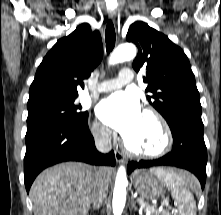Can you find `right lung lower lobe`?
I'll list each match as a JSON object with an SVG mask.
<instances>
[{"mask_svg": "<svg viewBox=\"0 0 221 215\" xmlns=\"http://www.w3.org/2000/svg\"><path fill=\"white\" fill-rule=\"evenodd\" d=\"M87 119H51L27 128L24 157L27 192L42 170L60 162L81 161L94 165H115L113 151L102 154L96 150Z\"/></svg>", "mask_w": 221, "mask_h": 215, "instance_id": "obj_1", "label": "right lung lower lobe"}]
</instances>
